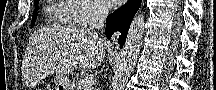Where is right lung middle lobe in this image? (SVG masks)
I'll return each instance as SVG.
<instances>
[{"instance_id":"obj_1","label":"right lung middle lobe","mask_w":216,"mask_h":90,"mask_svg":"<svg viewBox=\"0 0 216 90\" xmlns=\"http://www.w3.org/2000/svg\"><path fill=\"white\" fill-rule=\"evenodd\" d=\"M34 3H35V6H37L38 5V0H34ZM36 17H37V14H36V10H35L34 13H33L31 24H33L35 22Z\"/></svg>"}]
</instances>
